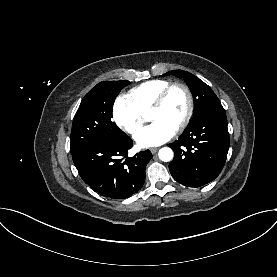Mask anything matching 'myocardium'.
Listing matches in <instances>:
<instances>
[{
    "instance_id": "1",
    "label": "myocardium",
    "mask_w": 277,
    "mask_h": 277,
    "mask_svg": "<svg viewBox=\"0 0 277 277\" xmlns=\"http://www.w3.org/2000/svg\"><path fill=\"white\" fill-rule=\"evenodd\" d=\"M176 88L182 89L185 92V94L187 96V101H188L186 114H185L183 120L176 127V130L180 131V130L184 129L189 124V122H190V120L193 116V113H194V97H193L191 89L186 84L181 83V82H175V83H172V84L168 85L158 95V97L153 102V104L151 105L149 110L154 111V110H158L161 107H163V105L167 101L170 93Z\"/></svg>"
}]
</instances>
